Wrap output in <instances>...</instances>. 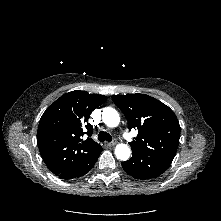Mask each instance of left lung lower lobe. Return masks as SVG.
<instances>
[{"mask_svg": "<svg viewBox=\"0 0 221 221\" xmlns=\"http://www.w3.org/2000/svg\"><path fill=\"white\" fill-rule=\"evenodd\" d=\"M172 161L132 153V157L122 162L126 173L139 180L153 179L160 176L170 166Z\"/></svg>", "mask_w": 221, "mask_h": 221, "instance_id": "obj_1", "label": "left lung lower lobe"}]
</instances>
